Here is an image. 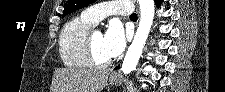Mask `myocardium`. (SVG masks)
Returning <instances> with one entry per match:
<instances>
[{
    "instance_id": "myocardium-1",
    "label": "myocardium",
    "mask_w": 225,
    "mask_h": 92,
    "mask_svg": "<svg viewBox=\"0 0 225 92\" xmlns=\"http://www.w3.org/2000/svg\"><path fill=\"white\" fill-rule=\"evenodd\" d=\"M85 50L86 55L88 58V61L91 66L97 67V68H105L110 65V61H101L95 54L92 44V33H88L86 40H85Z\"/></svg>"
}]
</instances>
